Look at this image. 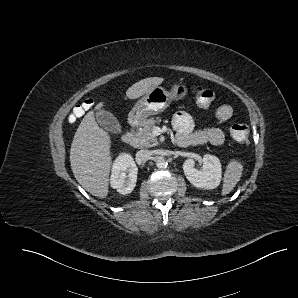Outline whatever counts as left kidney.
<instances>
[{
	"label": "left kidney",
	"mask_w": 298,
	"mask_h": 298,
	"mask_svg": "<svg viewBox=\"0 0 298 298\" xmlns=\"http://www.w3.org/2000/svg\"><path fill=\"white\" fill-rule=\"evenodd\" d=\"M203 166L195 168L194 159L188 158L183 163V171L187 180L196 188L206 190L217 188L222 178V167L218 157L205 154L202 158Z\"/></svg>",
	"instance_id": "5707ae66"
}]
</instances>
